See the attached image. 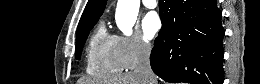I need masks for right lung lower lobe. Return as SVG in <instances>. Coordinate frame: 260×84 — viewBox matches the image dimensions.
<instances>
[{
  "label": "right lung lower lobe",
  "instance_id": "obj_1",
  "mask_svg": "<svg viewBox=\"0 0 260 84\" xmlns=\"http://www.w3.org/2000/svg\"><path fill=\"white\" fill-rule=\"evenodd\" d=\"M162 28L150 64L171 83L223 84L221 12L216 0L160 1Z\"/></svg>",
  "mask_w": 260,
  "mask_h": 84
}]
</instances>
